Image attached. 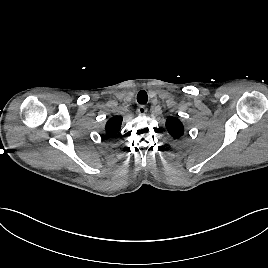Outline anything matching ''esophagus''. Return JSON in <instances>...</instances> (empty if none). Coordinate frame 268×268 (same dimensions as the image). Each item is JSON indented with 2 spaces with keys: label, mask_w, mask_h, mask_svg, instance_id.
<instances>
[{
  "label": "esophagus",
  "mask_w": 268,
  "mask_h": 268,
  "mask_svg": "<svg viewBox=\"0 0 268 268\" xmlns=\"http://www.w3.org/2000/svg\"><path fill=\"white\" fill-rule=\"evenodd\" d=\"M138 114L144 115L147 112V108L144 105H140L137 109Z\"/></svg>",
  "instance_id": "34e87169"
}]
</instances>
